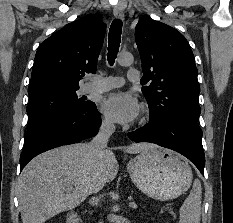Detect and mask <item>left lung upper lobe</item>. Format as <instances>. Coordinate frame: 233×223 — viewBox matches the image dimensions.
Masks as SVG:
<instances>
[{"label": "left lung upper lobe", "instance_id": "obj_1", "mask_svg": "<svg viewBox=\"0 0 233 223\" xmlns=\"http://www.w3.org/2000/svg\"><path fill=\"white\" fill-rule=\"evenodd\" d=\"M143 77L140 83L150 111V122L179 119L198 122L200 86L190 45L176 29L147 17L136 25Z\"/></svg>", "mask_w": 233, "mask_h": 223}]
</instances>
